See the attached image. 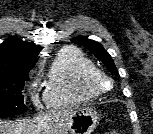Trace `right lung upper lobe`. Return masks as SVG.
I'll return each mask as SVG.
<instances>
[{"label":"right lung upper lobe","mask_w":153,"mask_h":134,"mask_svg":"<svg viewBox=\"0 0 153 134\" xmlns=\"http://www.w3.org/2000/svg\"><path fill=\"white\" fill-rule=\"evenodd\" d=\"M42 47L10 37L0 44V74L28 73Z\"/></svg>","instance_id":"cb5924a9"}]
</instances>
